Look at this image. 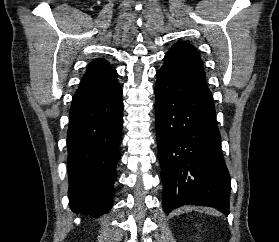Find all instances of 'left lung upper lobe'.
<instances>
[{"mask_svg":"<svg viewBox=\"0 0 279 242\" xmlns=\"http://www.w3.org/2000/svg\"><path fill=\"white\" fill-rule=\"evenodd\" d=\"M168 53L181 58L189 66L195 68L203 76H205L203 70V61L201 60L196 49L192 45L185 42H177L172 46Z\"/></svg>","mask_w":279,"mask_h":242,"instance_id":"1","label":"left lung upper lobe"}]
</instances>
